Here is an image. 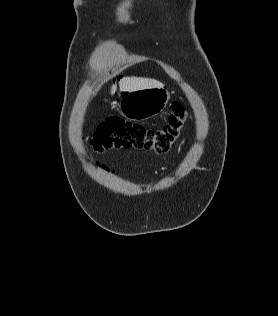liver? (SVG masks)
Returning <instances> with one entry per match:
<instances>
[{
  "label": "liver",
  "instance_id": "obj_1",
  "mask_svg": "<svg viewBox=\"0 0 278 316\" xmlns=\"http://www.w3.org/2000/svg\"><path fill=\"white\" fill-rule=\"evenodd\" d=\"M163 86L164 85L157 80L143 77H124L119 81V88L121 92H131L156 87L161 88ZM116 89V85H113L111 88L112 95L115 93Z\"/></svg>",
  "mask_w": 278,
  "mask_h": 316
}]
</instances>
